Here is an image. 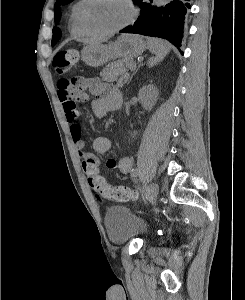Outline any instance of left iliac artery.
Returning a JSON list of instances; mask_svg holds the SVG:
<instances>
[{
	"mask_svg": "<svg viewBox=\"0 0 245 300\" xmlns=\"http://www.w3.org/2000/svg\"><path fill=\"white\" fill-rule=\"evenodd\" d=\"M137 175V170L133 171V176Z\"/></svg>",
	"mask_w": 245,
	"mask_h": 300,
	"instance_id": "obj_1",
	"label": "left iliac artery"
}]
</instances>
